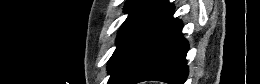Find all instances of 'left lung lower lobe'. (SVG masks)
<instances>
[{"mask_svg":"<svg viewBox=\"0 0 260 84\" xmlns=\"http://www.w3.org/2000/svg\"><path fill=\"white\" fill-rule=\"evenodd\" d=\"M174 7L162 0L128 40L110 71L108 84H135L146 80L184 84L188 75V43Z\"/></svg>","mask_w":260,"mask_h":84,"instance_id":"0a47b994","label":"left lung lower lobe"}]
</instances>
